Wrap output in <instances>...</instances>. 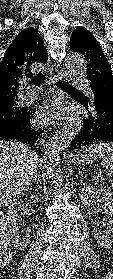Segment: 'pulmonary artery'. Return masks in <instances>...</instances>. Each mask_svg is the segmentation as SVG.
<instances>
[{
  "label": "pulmonary artery",
  "instance_id": "pulmonary-artery-1",
  "mask_svg": "<svg viewBox=\"0 0 113 279\" xmlns=\"http://www.w3.org/2000/svg\"><path fill=\"white\" fill-rule=\"evenodd\" d=\"M73 80H74V82L83 86L85 89H88L87 84L82 79L74 78ZM36 93H37L36 88H31L28 86L26 88L25 92L19 96V102L20 103H29V102L33 101L36 97Z\"/></svg>",
  "mask_w": 113,
  "mask_h": 279
}]
</instances>
